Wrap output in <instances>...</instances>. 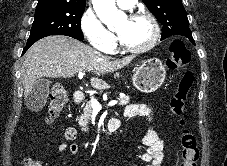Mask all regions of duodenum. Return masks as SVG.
<instances>
[{"label": "duodenum", "mask_w": 227, "mask_h": 166, "mask_svg": "<svg viewBox=\"0 0 227 166\" xmlns=\"http://www.w3.org/2000/svg\"><path fill=\"white\" fill-rule=\"evenodd\" d=\"M84 95L81 92H76L75 96H74V103L75 104H81L84 101ZM118 127V121L115 118H112L109 120L108 122V126L106 129V134L107 135H111L112 133L115 132V130Z\"/></svg>", "instance_id": "410a0bca"}]
</instances>
